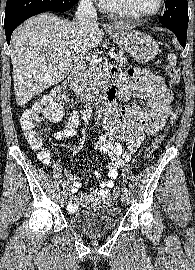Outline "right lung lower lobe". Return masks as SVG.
<instances>
[{
  "instance_id": "98d812e1",
  "label": "right lung lower lobe",
  "mask_w": 195,
  "mask_h": 270,
  "mask_svg": "<svg viewBox=\"0 0 195 270\" xmlns=\"http://www.w3.org/2000/svg\"><path fill=\"white\" fill-rule=\"evenodd\" d=\"M78 0H72L74 5ZM61 0H7L5 9V34L8 45L14 29L31 16L44 12H58ZM73 5V6H74Z\"/></svg>"
}]
</instances>
